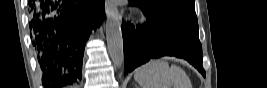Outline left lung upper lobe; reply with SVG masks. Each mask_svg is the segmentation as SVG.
<instances>
[{
	"label": "left lung upper lobe",
	"mask_w": 267,
	"mask_h": 88,
	"mask_svg": "<svg viewBox=\"0 0 267 88\" xmlns=\"http://www.w3.org/2000/svg\"><path fill=\"white\" fill-rule=\"evenodd\" d=\"M158 24H180L198 29L194 0H129Z\"/></svg>",
	"instance_id": "left-lung-upper-lobe-1"
}]
</instances>
